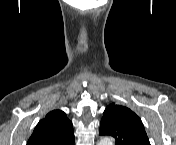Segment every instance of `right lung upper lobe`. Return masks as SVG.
I'll return each instance as SVG.
<instances>
[{
    "label": "right lung upper lobe",
    "mask_w": 176,
    "mask_h": 145,
    "mask_svg": "<svg viewBox=\"0 0 176 145\" xmlns=\"http://www.w3.org/2000/svg\"><path fill=\"white\" fill-rule=\"evenodd\" d=\"M27 145H74L72 122L63 111H51L39 121Z\"/></svg>",
    "instance_id": "1"
}]
</instances>
